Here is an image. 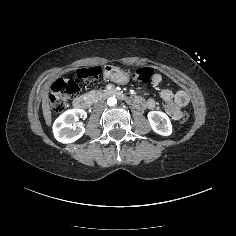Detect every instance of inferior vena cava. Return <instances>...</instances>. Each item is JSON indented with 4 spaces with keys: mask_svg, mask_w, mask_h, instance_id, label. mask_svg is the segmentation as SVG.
<instances>
[{
    "mask_svg": "<svg viewBox=\"0 0 236 236\" xmlns=\"http://www.w3.org/2000/svg\"><path fill=\"white\" fill-rule=\"evenodd\" d=\"M105 108H106V104H105V102H103V101L97 102V103H95L94 106H93V110H94L95 112H97V113H100V112L104 111Z\"/></svg>",
    "mask_w": 236,
    "mask_h": 236,
    "instance_id": "1",
    "label": "inferior vena cava"
}]
</instances>
